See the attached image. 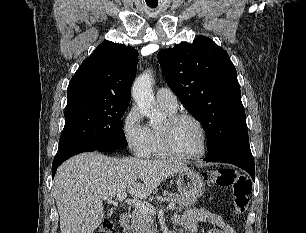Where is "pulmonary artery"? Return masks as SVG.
Wrapping results in <instances>:
<instances>
[{
  "mask_svg": "<svg viewBox=\"0 0 306 233\" xmlns=\"http://www.w3.org/2000/svg\"><path fill=\"white\" fill-rule=\"evenodd\" d=\"M156 100L159 105L171 110L177 108V98L175 94L167 87H161L157 90Z\"/></svg>",
  "mask_w": 306,
  "mask_h": 233,
  "instance_id": "obj_1",
  "label": "pulmonary artery"
}]
</instances>
